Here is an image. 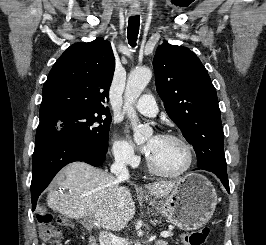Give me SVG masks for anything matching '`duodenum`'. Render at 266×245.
<instances>
[{
	"label": "duodenum",
	"mask_w": 266,
	"mask_h": 245,
	"mask_svg": "<svg viewBox=\"0 0 266 245\" xmlns=\"http://www.w3.org/2000/svg\"><path fill=\"white\" fill-rule=\"evenodd\" d=\"M90 245H97L95 241H91Z\"/></svg>",
	"instance_id": "1"
}]
</instances>
